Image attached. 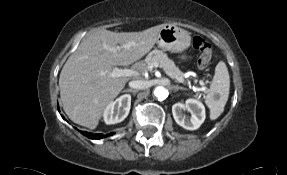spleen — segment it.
Listing matches in <instances>:
<instances>
[{"label":"spleen","instance_id":"3e777b00","mask_svg":"<svg viewBox=\"0 0 287 175\" xmlns=\"http://www.w3.org/2000/svg\"><path fill=\"white\" fill-rule=\"evenodd\" d=\"M230 89V76L223 61L216 68L210 88L207 90L205 103L210 109V119H217L224 111Z\"/></svg>","mask_w":287,"mask_h":175}]
</instances>
